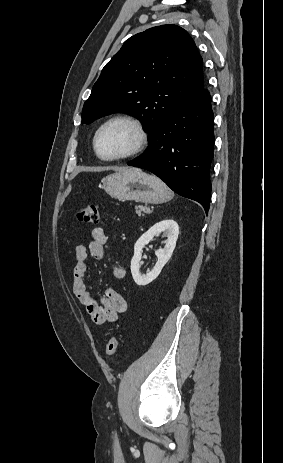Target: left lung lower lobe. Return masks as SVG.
Segmentation results:
<instances>
[{
    "mask_svg": "<svg viewBox=\"0 0 283 463\" xmlns=\"http://www.w3.org/2000/svg\"><path fill=\"white\" fill-rule=\"evenodd\" d=\"M145 153L128 165L152 172L177 194L199 202L208 213L213 159V112L202 87L184 99L149 139Z\"/></svg>",
    "mask_w": 283,
    "mask_h": 463,
    "instance_id": "1",
    "label": "left lung lower lobe"
}]
</instances>
